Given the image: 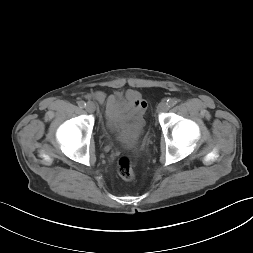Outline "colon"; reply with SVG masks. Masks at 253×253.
<instances>
[{"mask_svg": "<svg viewBox=\"0 0 253 253\" xmlns=\"http://www.w3.org/2000/svg\"><path fill=\"white\" fill-rule=\"evenodd\" d=\"M117 172L124 180H132L135 177L132 160L127 157H121L117 163Z\"/></svg>", "mask_w": 253, "mask_h": 253, "instance_id": "5ec220e1", "label": "colon"}]
</instances>
